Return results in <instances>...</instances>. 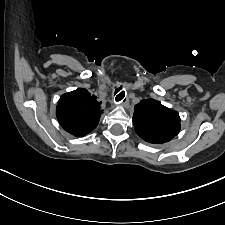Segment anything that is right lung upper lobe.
I'll return each mask as SVG.
<instances>
[{
  "label": "right lung upper lobe",
  "mask_w": 225,
  "mask_h": 225,
  "mask_svg": "<svg viewBox=\"0 0 225 225\" xmlns=\"http://www.w3.org/2000/svg\"><path fill=\"white\" fill-rule=\"evenodd\" d=\"M95 98L86 89L63 94L56 107V116L63 129L76 137L91 132L103 113Z\"/></svg>",
  "instance_id": "obj_1"
}]
</instances>
